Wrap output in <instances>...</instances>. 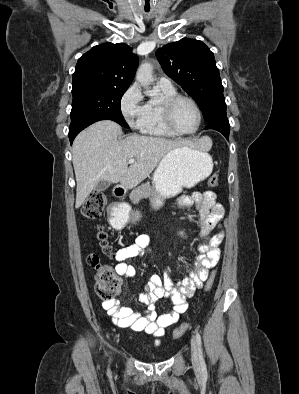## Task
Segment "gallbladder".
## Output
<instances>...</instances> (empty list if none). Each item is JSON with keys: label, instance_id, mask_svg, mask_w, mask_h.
<instances>
[{"label": "gallbladder", "instance_id": "bac80fb5", "mask_svg": "<svg viewBox=\"0 0 299 394\" xmlns=\"http://www.w3.org/2000/svg\"><path fill=\"white\" fill-rule=\"evenodd\" d=\"M109 185H110V182L105 181V180H101V181H99V183L95 187V191H97V192L104 191L109 187Z\"/></svg>", "mask_w": 299, "mask_h": 394}]
</instances>
